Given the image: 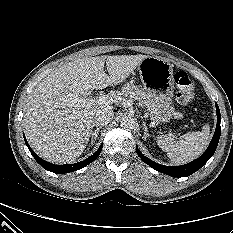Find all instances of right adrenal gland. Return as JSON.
I'll list each match as a JSON object with an SVG mask.
<instances>
[{
  "label": "right adrenal gland",
  "instance_id": "obj_1",
  "mask_svg": "<svg viewBox=\"0 0 233 233\" xmlns=\"http://www.w3.org/2000/svg\"><path fill=\"white\" fill-rule=\"evenodd\" d=\"M100 128H96L94 131L91 132L90 137H91V144L93 145L96 141V138L99 134Z\"/></svg>",
  "mask_w": 233,
  "mask_h": 233
}]
</instances>
